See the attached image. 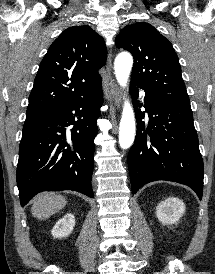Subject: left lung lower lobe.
<instances>
[{
    "label": "left lung lower lobe",
    "instance_id": "obj_1",
    "mask_svg": "<svg viewBox=\"0 0 215 274\" xmlns=\"http://www.w3.org/2000/svg\"><path fill=\"white\" fill-rule=\"evenodd\" d=\"M139 89L145 92L148 120L137 106ZM130 92L137 119L136 140L128 154L132 193L149 182L166 180L189 186L201 200L204 168L191 107L170 102L134 83Z\"/></svg>",
    "mask_w": 215,
    "mask_h": 274
}]
</instances>
